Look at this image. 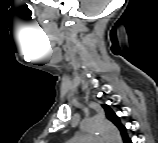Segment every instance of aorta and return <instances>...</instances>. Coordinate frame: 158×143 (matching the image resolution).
I'll return each instance as SVG.
<instances>
[{"instance_id": "aorta-1", "label": "aorta", "mask_w": 158, "mask_h": 143, "mask_svg": "<svg viewBox=\"0 0 158 143\" xmlns=\"http://www.w3.org/2000/svg\"><path fill=\"white\" fill-rule=\"evenodd\" d=\"M81 130L87 133H100L107 143H122L119 130L108 120L93 117L81 124Z\"/></svg>"}]
</instances>
